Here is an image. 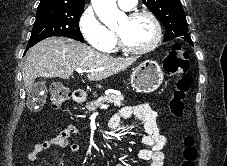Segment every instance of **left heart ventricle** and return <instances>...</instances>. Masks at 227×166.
<instances>
[{
    "label": "left heart ventricle",
    "instance_id": "obj_1",
    "mask_svg": "<svg viewBox=\"0 0 227 166\" xmlns=\"http://www.w3.org/2000/svg\"><path fill=\"white\" fill-rule=\"evenodd\" d=\"M123 41L130 47L142 48L151 43L155 35V29L151 20L147 17H139L129 20L123 16L115 27Z\"/></svg>",
    "mask_w": 227,
    "mask_h": 166
}]
</instances>
